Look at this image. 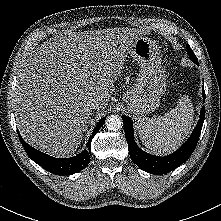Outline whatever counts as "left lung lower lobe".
<instances>
[{
    "label": "left lung lower lobe",
    "instance_id": "left-lung-lower-lobe-1",
    "mask_svg": "<svg viewBox=\"0 0 221 221\" xmlns=\"http://www.w3.org/2000/svg\"><path fill=\"white\" fill-rule=\"evenodd\" d=\"M202 95L203 99H205L204 88ZM204 118L205 107L203 106L201 108L200 119L198 120L197 126L193 130L189 139L183 144V146H181L176 152L170 155L158 157L146 153L137 146L134 140L132 120L129 117L123 115L122 119L124 124V131L131 159L140 169L151 174L160 175L174 170L182 163H184L193 153L202 130Z\"/></svg>",
    "mask_w": 221,
    "mask_h": 221
}]
</instances>
